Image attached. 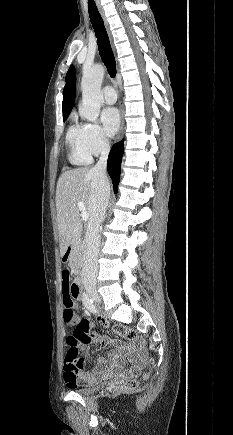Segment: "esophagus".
<instances>
[{
    "label": "esophagus",
    "instance_id": "34e87169",
    "mask_svg": "<svg viewBox=\"0 0 233 435\" xmlns=\"http://www.w3.org/2000/svg\"><path fill=\"white\" fill-rule=\"evenodd\" d=\"M97 6H98V9H99V11H100V14H101V16H102V18H103V20H104L105 27H106V29H107V32H108V34H109V37H110V40H111V43H112V36H111V32H110V28H109V24H108V22H107V19H106L105 14H104V10H103V8H102V6H101L99 0H97ZM112 48H113V51L115 52V48H114L113 43H112ZM124 126H125V121H124V108H123V106L121 105V106H120V128H119L118 135H117V137H116V140H117V141H120V140L122 139V137H123V134H124Z\"/></svg>",
    "mask_w": 233,
    "mask_h": 435
}]
</instances>
